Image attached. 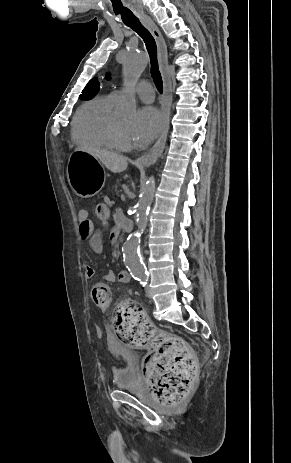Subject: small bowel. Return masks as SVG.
<instances>
[{"label":"small bowel","instance_id":"obj_1","mask_svg":"<svg viewBox=\"0 0 291 463\" xmlns=\"http://www.w3.org/2000/svg\"><path fill=\"white\" fill-rule=\"evenodd\" d=\"M103 204V203H101ZM120 215L115 214L114 220L118 223ZM110 217H107V222ZM79 219V237L81 240H87L89 246L93 252L100 254L103 251V239L101 233L95 228L94 223L89 217V211L86 208L80 209L78 212ZM122 233V228L120 226H113L109 235L111 236V244L113 246H118L120 244V234ZM84 274L87 279H92L95 276V270L86 266L84 269ZM102 279L109 283H114L116 281L121 283H128L130 281L129 272L122 270L118 275L114 271L108 270L102 275Z\"/></svg>","mask_w":291,"mask_h":463}]
</instances>
